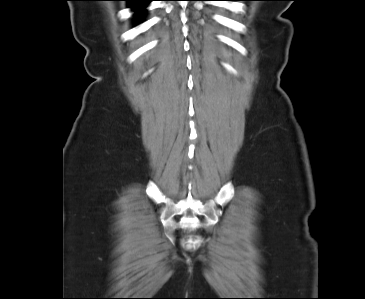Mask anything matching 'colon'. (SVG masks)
Instances as JSON below:
<instances>
[{"label": "colon", "mask_w": 365, "mask_h": 299, "mask_svg": "<svg viewBox=\"0 0 365 299\" xmlns=\"http://www.w3.org/2000/svg\"><path fill=\"white\" fill-rule=\"evenodd\" d=\"M196 245H197V241H189L188 244H187V246L189 248H195Z\"/></svg>", "instance_id": "colon-1"}]
</instances>
